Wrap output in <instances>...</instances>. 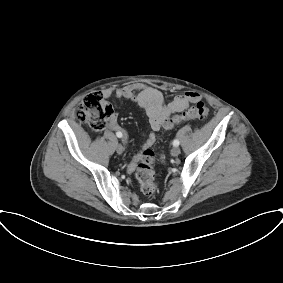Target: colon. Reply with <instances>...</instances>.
<instances>
[{
	"label": "colon",
	"instance_id": "colon-1",
	"mask_svg": "<svg viewBox=\"0 0 283 283\" xmlns=\"http://www.w3.org/2000/svg\"><path fill=\"white\" fill-rule=\"evenodd\" d=\"M111 104L99 92H92L83 97L75 112L76 119L89 124L95 130L104 129L113 115ZM209 114V108L202 101L194 103L183 115H176L165 123L170 129L185 119H204ZM155 157L151 150H144L136 164V177L141 192L145 196H153L157 191V181L154 170Z\"/></svg>",
	"mask_w": 283,
	"mask_h": 283
}]
</instances>
